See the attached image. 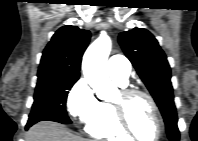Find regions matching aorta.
I'll use <instances>...</instances> for the list:
<instances>
[{
  "instance_id": "1",
  "label": "aorta",
  "mask_w": 198,
  "mask_h": 141,
  "mask_svg": "<svg viewBox=\"0 0 198 141\" xmlns=\"http://www.w3.org/2000/svg\"><path fill=\"white\" fill-rule=\"evenodd\" d=\"M111 48L110 37L103 33L87 48L82 61L84 77L97 97L105 101H111L117 92L107 74V59Z\"/></svg>"
}]
</instances>
